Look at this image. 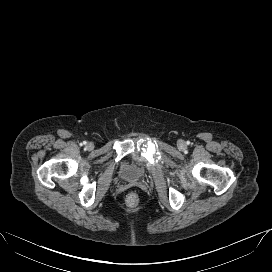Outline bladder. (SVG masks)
Returning <instances> with one entry per match:
<instances>
[{
	"label": "bladder",
	"instance_id": "obj_1",
	"mask_svg": "<svg viewBox=\"0 0 272 272\" xmlns=\"http://www.w3.org/2000/svg\"><path fill=\"white\" fill-rule=\"evenodd\" d=\"M145 173V166L133 157L125 160L119 169V177L126 182L140 181L144 178Z\"/></svg>",
	"mask_w": 272,
	"mask_h": 272
}]
</instances>
